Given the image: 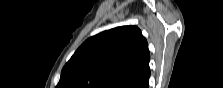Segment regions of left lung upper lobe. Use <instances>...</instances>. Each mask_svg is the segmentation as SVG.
<instances>
[{
    "instance_id": "1",
    "label": "left lung upper lobe",
    "mask_w": 223,
    "mask_h": 88,
    "mask_svg": "<svg viewBox=\"0 0 223 88\" xmlns=\"http://www.w3.org/2000/svg\"><path fill=\"white\" fill-rule=\"evenodd\" d=\"M146 39L135 26L87 39L63 67L56 88H135L150 76Z\"/></svg>"
}]
</instances>
